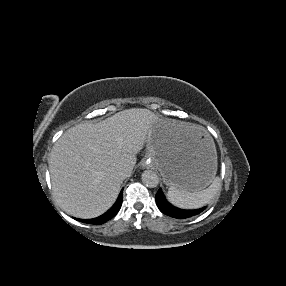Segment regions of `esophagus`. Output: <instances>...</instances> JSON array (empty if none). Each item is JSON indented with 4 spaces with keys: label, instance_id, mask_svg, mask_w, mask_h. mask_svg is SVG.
Segmentation results:
<instances>
[{
    "label": "esophagus",
    "instance_id": "esophagus-1",
    "mask_svg": "<svg viewBox=\"0 0 286 286\" xmlns=\"http://www.w3.org/2000/svg\"><path fill=\"white\" fill-rule=\"evenodd\" d=\"M145 166H146V163H143V164H142V167H145Z\"/></svg>",
    "mask_w": 286,
    "mask_h": 286
}]
</instances>
